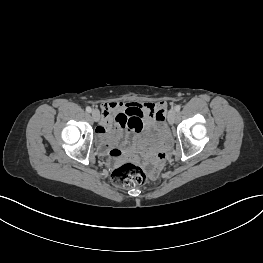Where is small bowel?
<instances>
[{
    "mask_svg": "<svg viewBox=\"0 0 263 263\" xmlns=\"http://www.w3.org/2000/svg\"><path fill=\"white\" fill-rule=\"evenodd\" d=\"M166 109L167 104L164 101L103 103L102 119L97 128L99 145L115 160L122 159L126 152L136 154L144 138L157 126H164ZM164 158V151H155L149 168L150 178H159Z\"/></svg>",
    "mask_w": 263,
    "mask_h": 263,
    "instance_id": "obj_1",
    "label": "small bowel"
}]
</instances>
